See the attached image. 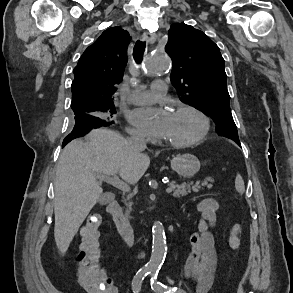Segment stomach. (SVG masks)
Segmentation results:
<instances>
[{"label":"stomach","mask_w":293,"mask_h":293,"mask_svg":"<svg viewBox=\"0 0 293 293\" xmlns=\"http://www.w3.org/2000/svg\"><path fill=\"white\" fill-rule=\"evenodd\" d=\"M171 168L180 177L191 178L200 170V161L193 154H179L172 158Z\"/></svg>","instance_id":"1"}]
</instances>
